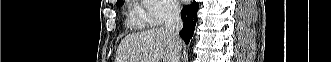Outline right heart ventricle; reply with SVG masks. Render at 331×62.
Masks as SVG:
<instances>
[{
	"mask_svg": "<svg viewBox=\"0 0 331 62\" xmlns=\"http://www.w3.org/2000/svg\"><path fill=\"white\" fill-rule=\"evenodd\" d=\"M132 16L136 19V20H139L141 22L144 21V13L141 9L139 8H135L133 11H132Z\"/></svg>",
	"mask_w": 331,
	"mask_h": 62,
	"instance_id": "obj_1",
	"label": "right heart ventricle"
}]
</instances>
